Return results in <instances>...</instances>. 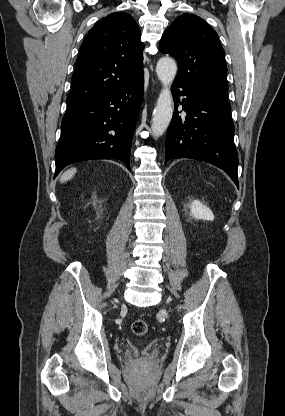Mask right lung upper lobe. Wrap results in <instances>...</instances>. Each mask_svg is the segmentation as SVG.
<instances>
[{"mask_svg":"<svg viewBox=\"0 0 285 416\" xmlns=\"http://www.w3.org/2000/svg\"><path fill=\"white\" fill-rule=\"evenodd\" d=\"M140 29L125 12L109 14L85 37L67 96V108L106 97L143 77Z\"/></svg>","mask_w":285,"mask_h":416,"instance_id":"1","label":"right lung upper lobe"}]
</instances>
